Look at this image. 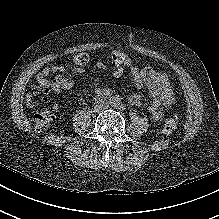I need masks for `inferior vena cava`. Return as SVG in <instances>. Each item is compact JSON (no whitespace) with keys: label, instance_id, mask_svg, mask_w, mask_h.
<instances>
[{"label":"inferior vena cava","instance_id":"obj_1","mask_svg":"<svg viewBox=\"0 0 219 219\" xmlns=\"http://www.w3.org/2000/svg\"><path fill=\"white\" fill-rule=\"evenodd\" d=\"M109 107V104L106 102V99L104 97L99 98V101L94 103V111L100 112L103 109H107Z\"/></svg>","mask_w":219,"mask_h":219}]
</instances>
